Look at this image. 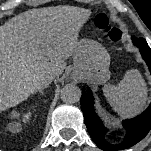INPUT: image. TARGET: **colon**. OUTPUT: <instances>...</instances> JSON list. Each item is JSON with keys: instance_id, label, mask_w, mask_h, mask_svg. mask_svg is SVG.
Masks as SVG:
<instances>
[{"instance_id": "5ec220e1", "label": "colon", "mask_w": 151, "mask_h": 151, "mask_svg": "<svg viewBox=\"0 0 151 151\" xmlns=\"http://www.w3.org/2000/svg\"><path fill=\"white\" fill-rule=\"evenodd\" d=\"M94 26L104 32L112 42H119L127 37L125 29L114 24L106 13H99L95 16Z\"/></svg>"}]
</instances>
